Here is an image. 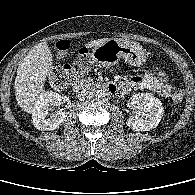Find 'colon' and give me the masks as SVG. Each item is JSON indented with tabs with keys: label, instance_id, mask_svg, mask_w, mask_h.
I'll use <instances>...</instances> for the list:
<instances>
[{
	"label": "colon",
	"instance_id": "1",
	"mask_svg": "<svg viewBox=\"0 0 195 195\" xmlns=\"http://www.w3.org/2000/svg\"><path fill=\"white\" fill-rule=\"evenodd\" d=\"M68 47L67 41H59L54 45L60 56L65 55ZM89 63V54L85 51L71 64L55 65L49 75L51 84L59 89L75 84L89 68ZM151 74L160 81H167L168 79L166 72L158 66L153 68ZM171 98L175 102H181L184 98V93L181 90H174L171 93Z\"/></svg>",
	"mask_w": 195,
	"mask_h": 195
}]
</instances>
